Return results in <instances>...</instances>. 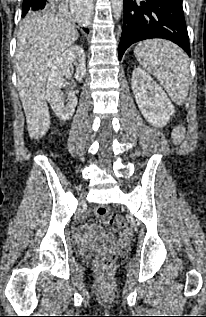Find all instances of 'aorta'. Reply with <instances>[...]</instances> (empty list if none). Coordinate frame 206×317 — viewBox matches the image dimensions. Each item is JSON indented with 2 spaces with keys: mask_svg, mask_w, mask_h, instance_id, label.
<instances>
[{
  "mask_svg": "<svg viewBox=\"0 0 206 317\" xmlns=\"http://www.w3.org/2000/svg\"><path fill=\"white\" fill-rule=\"evenodd\" d=\"M113 15L116 20H119L121 17L123 9V0H111Z\"/></svg>",
  "mask_w": 206,
  "mask_h": 317,
  "instance_id": "762f6f07",
  "label": "aorta"
}]
</instances>
